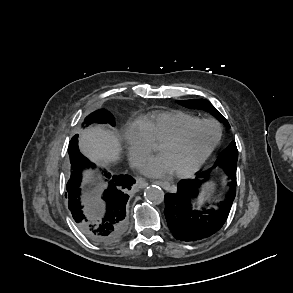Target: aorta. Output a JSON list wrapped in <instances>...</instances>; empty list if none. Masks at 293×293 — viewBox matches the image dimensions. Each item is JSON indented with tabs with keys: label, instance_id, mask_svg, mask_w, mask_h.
Here are the masks:
<instances>
[{
	"label": "aorta",
	"instance_id": "1",
	"mask_svg": "<svg viewBox=\"0 0 293 293\" xmlns=\"http://www.w3.org/2000/svg\"><path fill=\"white\" fill-rule=\"evenodd\" d=\"M145 199L153 204H160L164 200V191L156 185L149 186L144 192Z\"/></svg>",
	"mask_w": 293,
	"mask_h": 293
}]
</instances>
